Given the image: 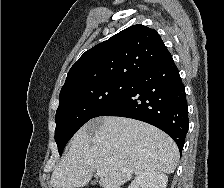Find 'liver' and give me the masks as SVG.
Returning a JSON list of instances; mask_svg holds the SVG:
<instances>
[{
	"instance_id": "1",
	"label": "liver",
	"mask_w": 224,
	"mask_h": 188,
	"mask_svg": "<svg viewBox=\"0 0 224 188\" xmlns=\"http://www.w3.org/2000/svg\"><path fill=\"white\" fill-rule=\"evenodd\" d=\"M178 161L176 143L160 129L134 119L100 117L74 135L69 151L51 175L50 186L84 187L95 170H102L100 186L120 188L133 174H171Z\"/></svg>"
}]
</instances>
